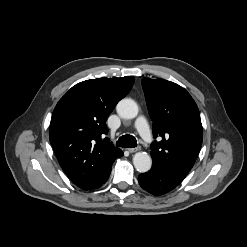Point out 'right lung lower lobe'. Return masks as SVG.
<instances>
[{
	"mask_svg": "<svg viewBox=\"0 0 247 247\" xmlns=\"http://www.w3.org/2000/svg\"><path fill=\"white\" fill-rule=\"evenodd\" d=\"M123 155V152L119 155V157H121Z\"/></svg>",
	"mask_w": 247,
	"mask_h": 247,
	"instance_id": "1",
	"label": "right lung lower lobe"
}]
</instances>
